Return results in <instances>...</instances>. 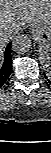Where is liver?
Returning a JSON list of instances; mask_svg holds the SVG:
<instances>
[{"instance_id":"6515ba94","label":"liver","mask_w":51,"mask_h":153,"mask_svg":"<svg viewBox=\"0 0 51 153\" xmlns=\"http://www.w3.org/2000/svg\"><path fill=\"white\" fill-rule=\"evenodd\" d=\"M51 23V0H0V50L27 24Z\"/></svg>"}]
</instances>
